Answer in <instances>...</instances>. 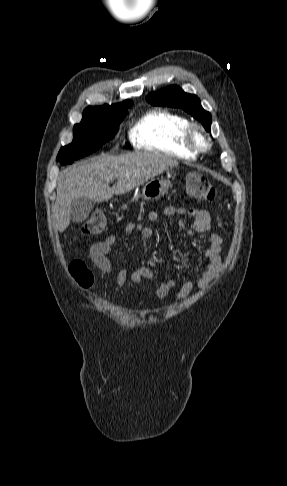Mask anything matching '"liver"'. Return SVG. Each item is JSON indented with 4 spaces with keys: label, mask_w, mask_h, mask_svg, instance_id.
<instances>
[{
    "label": "liver",
    "mask_w": 287,
    "mask_h": 486,
    "mask_svg": "<svg viewBox=\"0 0 287 486\" xmlns=\"http://www.w3.org/2000/svg\"><path fill=\"white\" fill-rule=\"evenodd\" d=\"M178 161L158 153L137 152L120 156L100 155L63 171L58 178L54 224L63 232L70 225L74 198L87 197L103 202L113 195L125 194L153 179ZM117 179L113 187L110 181Z\"/></svg>",
    "instance_id": "obj_1"
}]
</instances>
